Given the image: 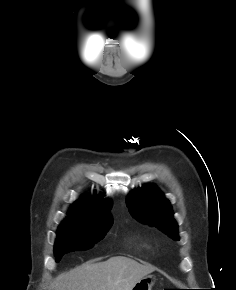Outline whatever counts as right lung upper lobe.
Returning a JSON list of instances; mask_svg holds the SVG:
<instances>
[{
    "mask_svg": "<svg viewBox=\"0 0 236 290\" xmlns=\"http://www.w3.org/2000/svg\"><path fill=\"white\" fill-rule=\"evenodd\" d=\"M109 208V201L104 202L84 197L72 205L66 220L84 222L96 219H111L108 215Z\"/></svg>",
    "mask_w": 236,
    "mask_h": 290,
    "instance_id": "right-lung-upper-lobe-1",
    "label": "right lung upper lobe"
}]
</instances>
